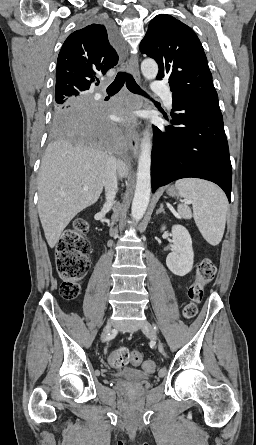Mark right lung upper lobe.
Here are the masks:
<instances>
[{"instance_id":"cb5924a9","label":"right lung upper lobe","mask_w":256,"mask_h":445,"mask_svg":"<svg viewBox=\"0 0 256 445\" xmlns=\"http://www.w3.org/2000/svg\"><path fill=\"white\" fill-rule=\"evenodd\" d=\"M118 63L117 48L106 24H91L70 34L57 59L55 96L87 93L97 76Z\"/></svg>"}]
</instances>
